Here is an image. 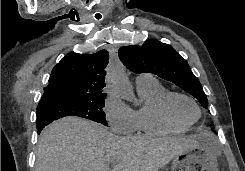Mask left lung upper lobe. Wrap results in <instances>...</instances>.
Here are the masks:
<instances>
[{
  "label": "left lung upper lobe",
  "mask_w": 245,
  "mask_h": 171,
  "mask_svg": "<svg viewBox=\"0 0 245 171\" xmlns=\"http://www.w3.org/2000/svg\"><path fill=\"white\" fill-rule=\"evenodd\" d=\"M119 58L134 73H152L175 83L208 108L206 94L188 63L168 44L149 40L142 46L130 45L119 49Z\"/></svg>",
  "instance_id": "1"
}]
</instances>
